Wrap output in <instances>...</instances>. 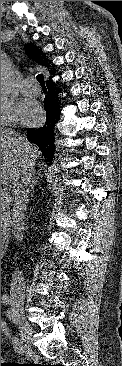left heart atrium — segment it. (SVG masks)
<instances>
[{
    "mask_svg": "<svg viewBox=\"0 0 122 366\" xmlns=\"http://www.w3.org/2000/svg\"><path fill=\"white\" fill-rule=\"evenodd\" d=\"M15 117L22 124H36L41 118V109L35 102L23 99L16 106Z\"/></svg>",
    "mask_w": 122,
    "mask_h": 366,
    "instance_id": "obj_1",
    "label": "left heart atrium"
}]
</instances>
